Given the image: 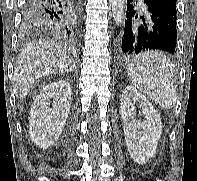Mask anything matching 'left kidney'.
Segmentation results:
<instances>
[{"mask_svg":"<svg viewBox=\"0 0 197 181\" xmlns=\"http://www.w3.org/2000/svg\"><path fill=\"white\" fill-rule=\"evenodd\" d=\"M135 102H139L144 120L136 118ZM121 115L124 135L131 158L138 164L154 156L162 133L160 115L149 100L136 88L127 86L121 97Z\"/></svg>","mask_w":197,"mask_h":181,"instance_id":"5707ae66","label":"left kidney"}]
</instances>
